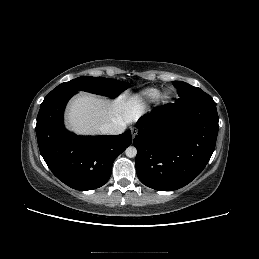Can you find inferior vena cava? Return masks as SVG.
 Here are the masks:
<instances>
[{
  "instance_id": "602c4592",
  "label": "inferior vena cava",
  "mask_w": 259,
  "mask_h": 259,
  "mask_svg": "<svg viewBox=\"0 0 259 259\" xmlns=\"http://www.w3.org/2000/svg\"><path fill=\"white\" fill-rule=\"evenodd\" d=\"M126 129V123L122 119H115L108 124H104L100 127V131L103 134L117 135L121 134Z\"/></svg>"
}]
</instances>
